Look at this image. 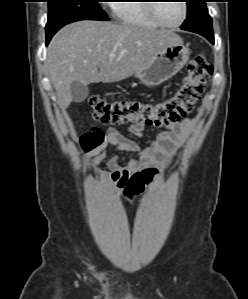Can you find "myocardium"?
Returning a JSON list of instances; mask_svg holds the SVG:
<instances>
[{
  "mask_svg": "<svg viewBox=\"0 0 248 299\" xmlns=\"http://www.w3.org/2000/svg\"><path fill=\"white\" fill-rule=\"evenodd\" d=\"M153 2H157V1H153ZM181 3H182V8H183V15H182L181 20L176 24H169V23L165 22L159 16V14L157 12V6H158L159 3H150V4H148V11H149V14H150L151 18L155 22H157L160 26H163V27H166V28H177L185 22V20L187 18V15H188V6H187L186 1L181 0Z\"/></svg>",
  "mask_w": 248,
  "mask_h": 299,
  "instance_id": "obj_1",
  "label": "myocardium"
}]
</instances>
